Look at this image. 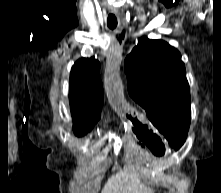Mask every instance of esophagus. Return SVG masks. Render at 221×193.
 I'll return each mask as SVG.
<instances>
[{
	"label": "esophagus",
	"instance_id": "1",
	"mask_svg": "<svg viewBox=\"0 0 221 193\" xmlns=\"http://www.w3.org/2000/svg\"><path fill=\"white\" fill-rule=\"evenodd\" d=\"M118 16H119V19H120V21L122 23V26L126 27V21H125L124 16L122 14H118Z\"/></svg>",
	"mask_w": 221,
	"mask_h": 193
}]
</instances>
